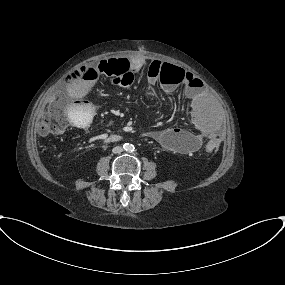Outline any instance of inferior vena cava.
I'll list each match as a JSON object with an SVG mask.
<instances>
[{
    "label": "inferior vena cava",
    "instance_id": "602c4592",
    "mask_svg": "<svg viewBox=\"0 0 285 285\" xmlns=\"http://www.w3.org/2000/svg\"><path fill=\"white\" fill-rule=\"evenodd\" d=\"M123 151V148L121 146H116L112 149L113 153H121Z\"/></svg>",
    "mask_w": 285,
    "mask_h": 285
}]
</instances>
